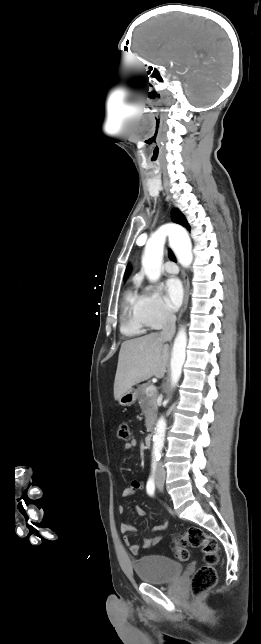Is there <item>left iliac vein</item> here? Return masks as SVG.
Wrapping results in <instances>:
<instances>
[{
    "mask_svg": "<svg viewBox=\"0 0 261 644\" xmlns=\"http://www.w3.org/2000/svg\"><path fill=\"white\" fill-rule=\"evenodd\" d=\"M157 487H158V489H159V490H162V488H163V481H161V483H157Z\"/></svg>",
    "mask_w": 261,
    "mask_h": 644,
    "instance_id": "obj_1",
    "label": "left iliac vein"
}]
</instances>
